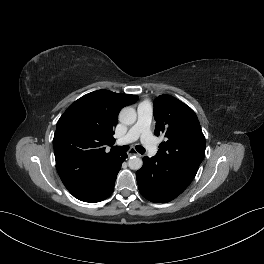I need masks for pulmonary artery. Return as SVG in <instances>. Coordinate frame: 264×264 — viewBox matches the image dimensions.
Returning a JSON list of instances; mask_svg holds the SVG:
<instances>
[{
  "label": "pulmonary artery",
  "instance_id": "obj_1",
  "mask_svg": "<svg viewBox=\"0 0 264 264\" xmlns=\"http://www.w3.org/2000/svg\"><path fill=\"white\" fill-rule=\"evenodd\" d=\"M152 114L153 109L150 103H140L137 108L138 117L136 123L129 129L125 136L117 140V144L126 145L140 138L149 155H156L157 145L150 132Z\"/></svg>",
  "mask_w": 264,
  "mask_h": 264
}]
</instances>
